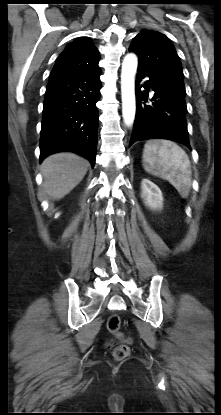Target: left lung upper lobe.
<instances>
[{"mask_svg":"<svg viewBox=\"0 0 221 415\" xmlns=\"http://www.w3.org/2000/svg\"><path fill=\"white\" fill-rule=\"evenodd\" d=\"M129 51L139 57L138 70L167 86L185 92L181 61L171 41L157 31H142Z\"/></svg>","mask_w":221,"mask_h":415,"instance_id":"5c2ea615","label":"left lung upper lobe"}]
</instances>
